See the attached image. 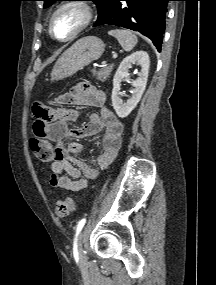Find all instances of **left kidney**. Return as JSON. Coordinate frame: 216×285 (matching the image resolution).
<instances>
[{"label":"left kidney","mask_w":216,"mask_h":285,"mask_svg":"<svg viewBox=\"0 0 216 285\" xmlns=\"http://www.w3.org/2000/svg\"><path fill=\"white\" fill-rule=\"evenodd\" d=\"M132 64H139L141 72L138 74V78L131 82V85L134 87L132 97L126 102H123L119 97L120 82L123 78L130 75L129 69ZM149 67L150 59L149 55L145 51H136L135 53L127 56L120 63L113 78V90L111 95L113 108L120 118L127 117L139 103L146 88Z\"/></svg>","instance_id":"5707ae66"}]
</instances>
